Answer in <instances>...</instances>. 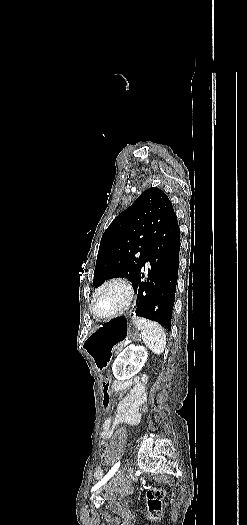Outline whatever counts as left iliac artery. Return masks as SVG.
<instances>
[{
  "instance_id": "left-iliac-artery-1",
  "label": "left iliac artery",
  "mask_w": 247,
  "mask_h": 525,
  "mask_svg": "<svg viewBox=\"0 0 247 525\" xmlns=\"http://www.w3.org/2000/svg\"><path fill=\"white\" fill-rule=\"evenodd\" d=\"M120 466V461L117 462L112 468L111 470L104 476L103 479H101V481H99L97 484H95L91 491H95L96 489H98L100 486H102L104 483H106L115 473L116 471L118 470Z\"/></svg>"
}]
</instances>
